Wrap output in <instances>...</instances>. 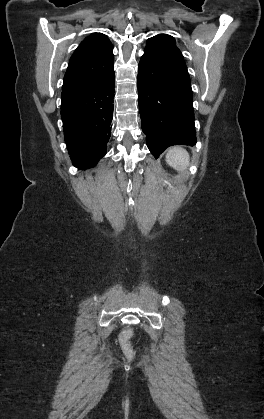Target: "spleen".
I'll return each mask as SVG.
<instances>
[{
	"label": "spleen",
	"instance_id": "obj_1",
	"mask_svg": "<svg viewBox=\"0 0 264 419\" xmlns=\"http://www.w3.org/2000/svg\"><path fill=\"white\" fill-rule=\"evenodd\" d=\"M189 161L190 156L188 152L179 146L170 148L166 154V162L168 165L180 172L187 170Z\"/></svg>",
	"mask_w": 264,
	"mask_h": 419
}]
</instances>
